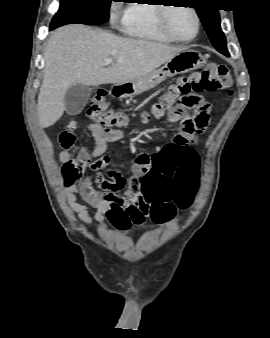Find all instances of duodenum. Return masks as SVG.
Listing matches in <instances>:
<instances>
[{"label":"duodenum","instance_id":"1","mask_svg":"<svg viewBox=\"0 0 270 338\" xmlns=\"http://www.w3.org/2000/svg\"><path fill=\"white\" fill-rule=\"evenodd\" d=\"M112 93L115 97L120 98L124 94V89L122 87H115Z\"/></svg>","mask_w":270,"mask_h":338}]
</instances>
